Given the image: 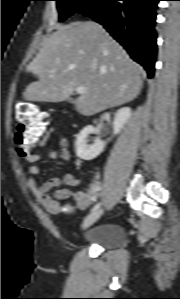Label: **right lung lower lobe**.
<instances>
[{"mask_svg": "<svg viewBox=\"0 0 180 299\" xmlns=\"http://www.w3.org/2000/svg\"><path fill=\"white\" fill-rule=\"evenodd\" d=\"M160 0H103L83 15L102 24L141 64L151 78L156 58L154 30L157 4Z\"/></svg>", "mask_w": 180, "mask_h": 299, "instance_id": "right-lung-lower-lobe-1", "label": "right lung lower lobe"}]
</instances>
